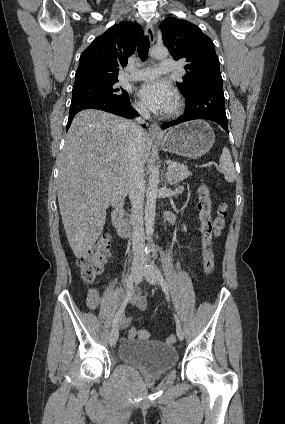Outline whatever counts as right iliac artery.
I'll return each mask as SVG.
<instances>
[{"label": "right iliac artery", "mask_w": 285, "mask_h": 424, "mask_svg": "<svg viewBox=\"0 0 285 424\" xmlns=\"http://www.w3.org/2000/svg\"><path fill=\"white\" fill-rule=\"evenodd\" d=\"M132 290H133V275L131 274V275H129V277L127 279V297H130L132 295L131 294ZM126 304H127V299L124 300V305L126 306ZM120 315H121V311L117 312V314H116V316L113 320V323H112V329H114L117 326Z\"/></svg>", "instance_id": "1"}]
</instances>
